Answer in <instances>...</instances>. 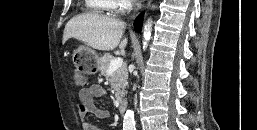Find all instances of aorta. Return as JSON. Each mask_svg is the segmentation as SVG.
Segmentation results:
<instances>
[{"mask_svg": "<svg viewBox=\"0 0 257 130\" xmlns=\"http://www.w3.org/2000/svg\"><path fill=\"white\" fill-rule=\"evenodd\" d=\"M152 20L148 19L147 22L143 26V50L148 47V42L151 37L152 31ZM123 129L124 130H134L135 129V121H134V111L127 110L124 121H123Z\"/></svg>", "mask_w": 257, "mask_h": 130, "instance_id": "aorta-1", "label": "aorta"}]
</instances>
